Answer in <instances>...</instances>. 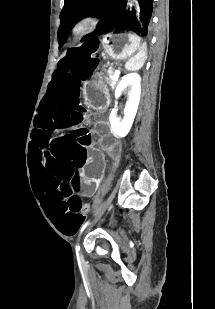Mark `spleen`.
Segmentation results:
<instances>
[{"instance_id": "spleen-1", "label": "spleen", "mask_w": 215, "mask_h": 309, "mask_svg": "<svg viewBox=\"0 0 215 309\" xmlns=\"http://www.w3.org/2000/svg\"><path fill=\"white\" fill-rule=\"evenodd\" d=\"M147 58V46L146 42H143L139 52L135 56H131L125 64L126 70H139L143 66Z\"/></svg>"}]
</instances>
